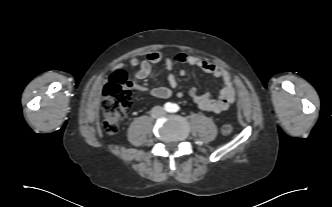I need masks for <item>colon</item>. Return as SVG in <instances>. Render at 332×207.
I'll return each mask as SVG.
<instances>
[{
  "instance_id": "5ec220e1",
  "label": "colon",
  "mask_w": 332,
  "mask_h": 207,
  "mask_svg": "<svg viewBox=\"0 0 332 207\" xmlns=\"http://www.w3.org/2000/svg\"><path fill=\"white\" fill-rule=\"evenodd\" d=\"M133 88L134 85L124 69L114 72L105 84L102 110L104 114L103 128L107 134H116L120 123L130 111L133 103ZM222 132L227 135L231 134L233 132L232 124H224Z\"/></svg>"
}]
</instances>
